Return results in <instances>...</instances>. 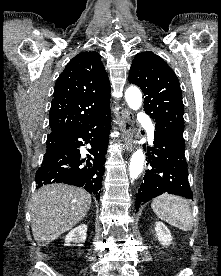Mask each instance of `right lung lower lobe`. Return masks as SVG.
<instances>
[{
	"label": "right lung lower lobe",
	"instance_id": "98d812e1",
	"mask_svg": "<svg viewBox=\"0 0 221 276\" xmlns=\"http://www.w3.org/2000/svg\"><path fill=\"white\" fill-rule=\"evenodd\" d=\"M111 127L110 108L69 136L66 144L44 155V161L36 172L38 187L49 183H66L84 187L99 199L102 176L105 172V155ZM90 143L86 159H81L79 147Z\"/></svg>",
	"mask_w": 221,
	"mask_h": 276
}]
</instances>
